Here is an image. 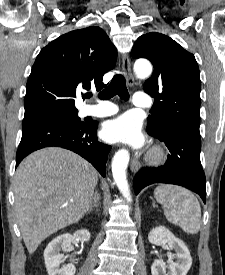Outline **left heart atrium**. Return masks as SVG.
<instances>
[{
    "instance_id": "39dd6f15",
    "label": "left heart atrium",
    "mask_w": 225,
    "mask_h": 275,
    "mask_svg": "<svg viewBox=\"0 0 225 275\" xmlns=\"http://www.w3.org/2000/svg\"><path fill=\"white\" fill-rule=\"evenodd\" d=\"M103 136L109 142H120L139 147L143 143V135L138 121L124 115L107 122L103 127Z\"/></svg>"
}]
</instances>
